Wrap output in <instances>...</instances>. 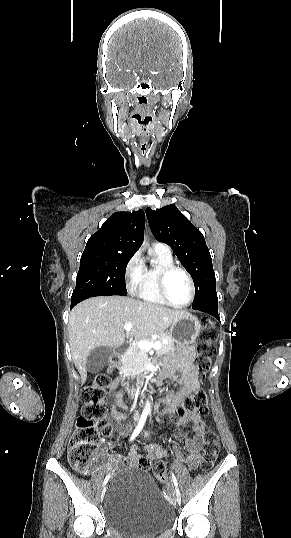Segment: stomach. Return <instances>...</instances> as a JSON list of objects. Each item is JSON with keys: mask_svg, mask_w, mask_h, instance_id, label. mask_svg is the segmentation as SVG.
Returning a JSON list of instances; mask_svg holds the SVG:
<instances>
[{"mask_svg": "<svg viewBox=\"0 0 291 538\" xmlns=\"http://www.w3.org/2000/svg\"><path fill=\"white\" fill-rule=\"evenodd\" d=\"M200 332V324L198 319L187 313L180 317L170 327V337L172 340L180 346H186L192 344L198 337Z\"/></svg>", "mask_w": 291, "mask_h": 538, "instance_id": "1", "label": "stomach"}]
</instances>
